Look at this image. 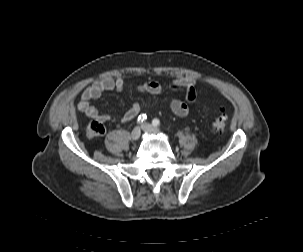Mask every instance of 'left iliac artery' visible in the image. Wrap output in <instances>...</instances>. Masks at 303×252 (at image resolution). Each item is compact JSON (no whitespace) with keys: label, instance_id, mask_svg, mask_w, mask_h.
I'll return each mask as SVG.
<instances>
[{"label":"left iliac artery","instance_id":"left-iliac-artery-1","mask_svg":"<svg viewBox=\"0 0 303 252\" xmlns=\"http://www.w3.org/2000/svg\"><path fill=\"white\" fill-rule=\"evenodd\" d=\"M152 124L157 127V126L160 125V120L155 118V119L152 120Z\"/></svg>","mask_w":303,"mask_h":252}]
</instances>
